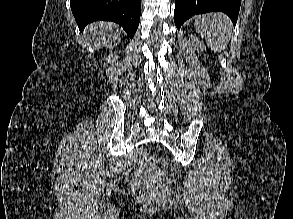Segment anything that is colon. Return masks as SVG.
Here are the masks:
<instances>
[{"label": "colon", "mask_w": 293, "mask_h": 219, "mask_svg": "<svg viewBox=\"0 0 293 219\" xmlns=\"http://www.w3.org/2000/svg\"><path fill=\"white\" fill-rule=\"evenodd\" d=\"M140 163L143 167L150 169H164L168 166V161L164 158L143 152L140 155ZM133 195L137 200L147 201L152 195V190L144 183H134Z\"/></svg>", "instance_id": "colon-1"}]
</instances>
